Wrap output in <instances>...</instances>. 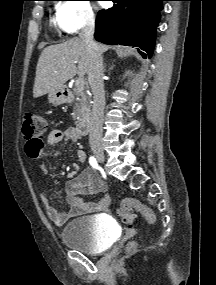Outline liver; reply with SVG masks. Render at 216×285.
Masks as SVG:
<instances>
[{"instance_id":"6515ba94","label":"liver","mask_w":216,"mask_h":285,"mask_svg":"<svg viewBox=\"0 0 216 285\" xmlns=\"http://www.w3.org/2000/svg\"><path fill=\"white\" fill-rule=\"evenodd\" d=\"M97 45L101 53L109 48L100 43ZM88 64L87 46L80 37L46 47L37 63L33 97L38 98L64 87V84L76 74L85 75L88 71Z\"/></svg>"}]
</instances>
